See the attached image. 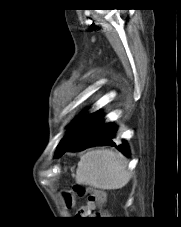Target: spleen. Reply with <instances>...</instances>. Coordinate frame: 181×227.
Listing matches in <instances>:
<instances>
[{
	"instance_id": "obj_1",
	"label": "spleen",
	"mask_w": 181,
	"mask_h": 227,
	"mask_svg": "<svg viewBox=\"0 0 181 227\" xmlns=\"http://www.w3.org/2000/svg\"><path fill=\"white\" fill-rule=\"evenodd\" d=\"M130 179L127 159L109 149L91 150L82 155L75 177L78 184L102 190L123 188Z\"/></svg>"
}]
</instances>
